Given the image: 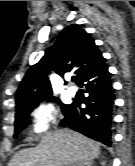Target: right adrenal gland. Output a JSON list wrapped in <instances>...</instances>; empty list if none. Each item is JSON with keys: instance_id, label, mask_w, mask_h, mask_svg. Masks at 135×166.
<instances>
[{"instance_id": "2a0ac1e0", "label": "right adrenal gland", "mask_w": 135, "mask_h": 166, "mask_svg": "<svg viewBox=\"0 0 135 166\" xmlns=\"http://www.w3.org/2000/svg\"><path fill=\"white\" fill-rule=\"evenodd\" d=\"M93 161H86V162H81V163H76V164H71L69 166H92Z\"/></svg>"}]
</instances>
